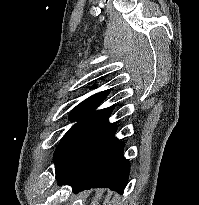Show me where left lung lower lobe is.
<instances>
[{
	"mask_svg": "<svg viewBox=\"0 0 199 205\" xmlns=\"http://www.w3.org/2000/svg\"><path fill=\"white\" fill-rule=\"evenodd\" d=\"M108 117L90 134L68 173L57 180L60 186L69 185L74 192L108 187L123 193L130 164L123 156L124 143L114 136L116 125Z\"/></svg>",
	"mask_w": 199,
	"mask_h": 205,
	"instance_id": "1",
	"label": "left lung lower lobe"
}]
</instances>
